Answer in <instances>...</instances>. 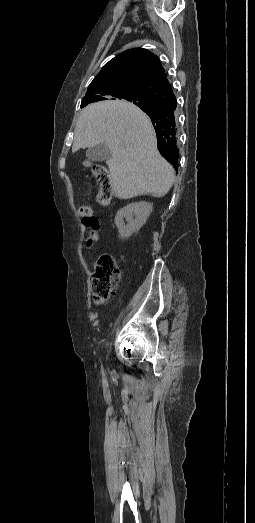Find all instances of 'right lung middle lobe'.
<instances>
[{"mask_svg": "<svg viewBox=\"0 0 255 523\" xmlns=\"http://www.w3.org/2000/svg\"><path fill=\"white\" fill-rule=\"evenodd\" d=\"M113 97L119 99H126L131 102H140L141 105L145 108L150 107L153 103L152 98L148 96L146 92L138 89L124 90L117 94H114Z\"/></svg>", "mask_w": 255, "mask_h": 523, "instance_id": "obj_1", "label": "right lung middle lobe"}]
</instances>
